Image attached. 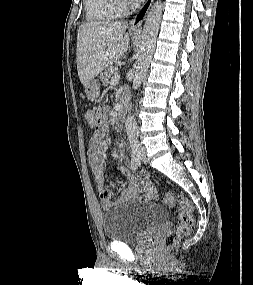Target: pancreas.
<instances>
[{
	"instance_id": "1",
	"label": "pancreas",
	"mask_w": 253,
	"mask_h": 285,
	"mask_svg": "<svg viewBox=\"0 0 253 285\" xmlns=\"http://www.w3.org/2000/svg\"><path fill=\"white\" fill-rule=\"evenodd\" d=\"M118 73V67L116 65H110L105 69L104 74L102 75L103 86L109 84V80L112 79L114 75Z\"/></svg>"
}]
</instances>
